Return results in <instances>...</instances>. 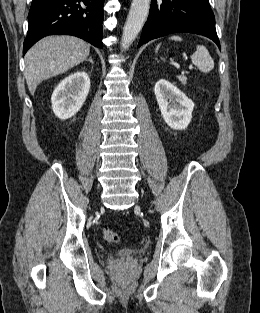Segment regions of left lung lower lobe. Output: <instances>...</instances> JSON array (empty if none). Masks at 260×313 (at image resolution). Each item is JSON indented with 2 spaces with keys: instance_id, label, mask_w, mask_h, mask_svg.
<instances>
[{
  "instance_id": "left-lung-lower-lobe-1",
  "label": "left lung lower lobe",
  "mask_w": 260,
  "mask_h": 313,
  "mask_svg": "<svg viewBox=\"0 0 260 313\" xmlns=\"http://www.w3.org/2000/svg\"><path fill=\"white\" fill-rule=\"evenodd\" d=\"M150 7L138 47L164 35L189 32L210 38L220 48L208 0H152Z\"/></svg>"
}]
</instances>
